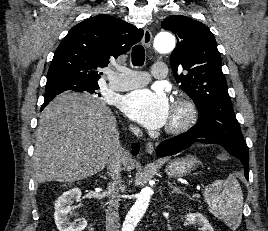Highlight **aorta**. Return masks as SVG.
Returning <instances> with one entry per match:
<instances>
[{
	"label": "aorta",
	"mask_w": 268,
	"mask_h": 231,
	"mask_svg": "<svg viewBox=\"0 0 268 231\" xmlns=\"http://www.w3.org/2000/svg\"><path fill=\"white\" fill-rule=\"evenodd\" d=\"M154 47L160 53H168L175 47V38L170 33H159L154 40ZM152 189L150 187L143 188L137 194V198L133 206L128 211L123 222L122 231H134L140 219L145 214L150 199Z\"/></svg>",
	"instance_id": "obj_1"
}]
</instances>
